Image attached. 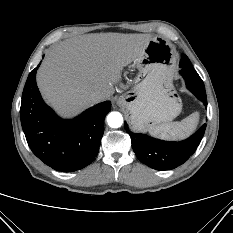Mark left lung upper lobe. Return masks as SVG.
I'll list each match as a JSON object with an SVG mask.
<instances>
[{
    "label": "left lung upper lobe",
    "instance_id": "5c2ea615",
    "mask_svg": "<svg viewBox=\"0 0 233 233\" xmlns=\"http://www.w3.org/2000/svg\"><path fill=\"white\" fill-rule=\"evenodd\" d=\"M198 82L204 84L199 76H198Z\"/></svg>",
    "mask_w": 233,
    "mask_h": 233
}]
</instances>
